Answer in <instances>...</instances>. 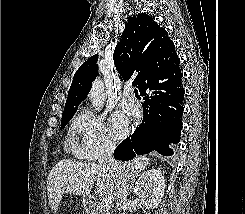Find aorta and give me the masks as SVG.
<instances>
[{
	"label": "aorta",
	"mask_w": 245,
	"mask_h": 214,
	"mask_svg": "<svg viewBox=\"0 0 245 214\" xmlns=\"http://www.w3.org/2000/svg\"><path fill=\"white\" fill-rule=\"evenodd\" d=\"M90 100L95 111H101L105 102L104 83L97 79L93 82L90 91Z\"/></svg>",
	"instance_id": "aorta-1"
}]
</instances>
